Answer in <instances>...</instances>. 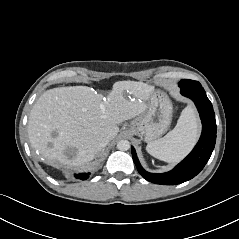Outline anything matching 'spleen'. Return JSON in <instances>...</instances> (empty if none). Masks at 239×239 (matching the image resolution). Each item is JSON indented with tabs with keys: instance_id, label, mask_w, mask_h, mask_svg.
<instances>
[{
	"instance_id": "obj_1",
	"label": "spleen",
	"mask_w": 239,
	"mask_h": 239,
	"mask_svg": "<svg viewBox=\"0 0 239 239\" xmlns=\"http://www.w3.org/2000/svg\"><path fill=\"white\" fill-rule=\"evenodd\" d=\"M199 136V124L192 106L182 112L173 130L163 138L149 142L147 152L153 157L168 163L183 159L193 148Z\"/></svg>"
}]
</instances>
